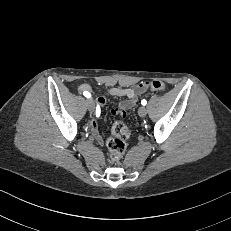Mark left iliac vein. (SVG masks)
<instances>
[{
	"instance_id": "left-iliac-vein-1",
	"label": "left iliac vein",
	"mask_w": 231,
	"mask_h": 231,
	"mask_svg": "<svg viewBox=\"0 0 231 231\" xmlns=\"http://www.w3.org/2000/svg\"><path fill=\"white\" fill-rule=\"evenodd\" d=\"M138 114L140 117H145L146 114H147V110L145 107H140L139 110H138Z\"/></svg>"
}]
</instances>
